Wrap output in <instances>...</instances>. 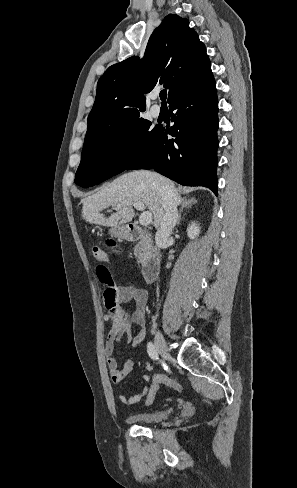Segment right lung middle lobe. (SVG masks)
Here are the masks:
<instances>
[{
  "instance_id": "obj_1",
  "label": "right lung middle lobe",
  "mask_w": 297,
  "mask_h": 488,
  "mask_svg": "<svg viewBox=\"0 0 297 488\" xmlns=\"http://www.w3.org/2000/svg\"><path fill=\"white\" fill-rule=\"evenodd\" d=\"M138 118L95 137H86L75 183L81 187L99 184L126 170L148 147L159 129Z\"/></svg>"
}]
</instances>
